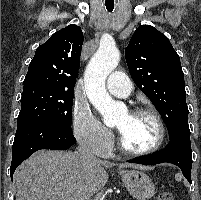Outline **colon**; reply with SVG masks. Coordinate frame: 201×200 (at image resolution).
Wrapping results in <instances>:
<instances>
[{"mask_svg":"<svg viewBox=\"0 0 201 200\" xmlns=\"http://www.w3.org/2000/svg\"><path fill=\"white\" fill-rule=\"evenodd\" d=\"M156 200H174L173 196L169 192H160Z\"/></svg>","mask_w":201,"mask_h":200,"instance_id":"1","label":"colon"}]
</instances>
